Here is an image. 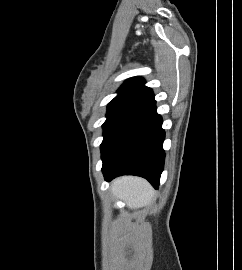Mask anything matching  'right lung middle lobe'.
Masks as SVG:
<instances>
[{
	"instance_id": "right-lung-middle-lobe-1",
	"label": "right lung middle lobe",
	"mask_w": 242,
	"mask_h": 270,
	"mask_svg": "<svg viewBox=\"0 0 242 270\" xmlns=\"http://www.w3.org/2000/svg\"><path fill=\"white\" fill-rule=\"evenodd\" d=\"M137 107L129 106V105H111L108 106L107 110V120L103 124V142L101 144V153L103 154L116 135L119 130L126 122V120L130 117V115L136 110Z\"/></svg>"
}]
</instances>
